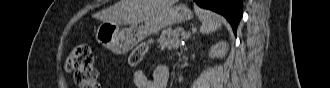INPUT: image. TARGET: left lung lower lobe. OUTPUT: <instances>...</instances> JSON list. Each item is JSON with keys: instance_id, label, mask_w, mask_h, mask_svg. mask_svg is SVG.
Segmentation results:
<instances>
[{"instance_id": "obj_1", "label": "left lung lower lobe", "mask_w": 330, "mask_h": 88, "mask_svg": "<svg viewBox=\"0 0 330 88\" xmlns=\"http://www.w3.org/2000/svg\"><path fill=\"white\" fill-rule=\"evenodd\" d=\"M200 7L222 14L231 24L236 35L242 17V0H194Z\"/></svg>"}]
</instances>
